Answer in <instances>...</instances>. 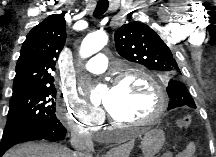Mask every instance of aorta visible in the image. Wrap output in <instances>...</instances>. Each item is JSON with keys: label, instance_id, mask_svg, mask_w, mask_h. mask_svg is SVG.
I'll list each match as a JSON object with an SVG mask.
<instances>
[{"label": "aorta", "instance_id": "obj_1", "mask_svg": "<svg viewBox=\"0 0 216 157\" xmlns=\"http://www.w3.org/2000/svg\"><path fill=\"white\" fill-rule=\"evenodd\" d=\"M107 35L103 31H98L87 35L81 43L79 54L82 58H88L100 51L107 44ZM92 102L100 100L99 89L91 91Z\"/></svg>", "mask_w": 216, "mask_h": 157}]
</instances>
